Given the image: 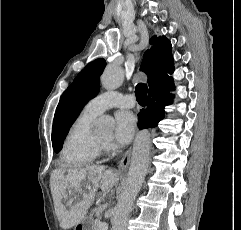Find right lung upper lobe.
Wrapping results in <instances>:
<instances>
[{"mask_svg": "<svg viewBox=\"0 0 241 230\" xmlns=\"http://www.w3.org/2000/svg\"><path fill=\"white\" fill-rule=\"evenodd\" d=\"M150 44L152 47L145 52L140 70L147 74V83L152 87L174 70V60L171 42L166 37L154 36L150 39Z\"/></svg>", "mask_w": 241, "mask_h": 230, "instance_id": "obj_1", "label": "right lung upper lobe"}]
</instances>
